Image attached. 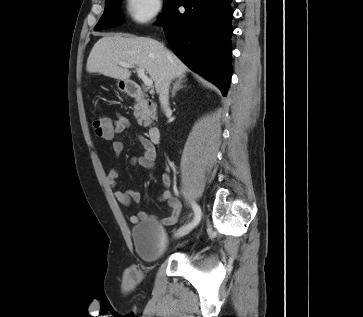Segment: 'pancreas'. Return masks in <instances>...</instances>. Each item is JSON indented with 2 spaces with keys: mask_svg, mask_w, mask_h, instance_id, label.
<instances>
[{
  "mask_svg": "<svg viewBox=\"0 0 363 317\" xmlns=\"http://www.w3.org/2000/svg\"><path fill=\"white\" fill-rule=\"evenodd\" d=\"M134 116L139 124L144 120L143 124L145 127L150 126L152 121L156 119V113L148 109L146 101H141L134 105Z\"/></svg>",
  "mask_w": 363,
  "mask_h": 317,
  "instance_id": "pancreas-1",
  "label": "pancreas"
}]
</instances>
